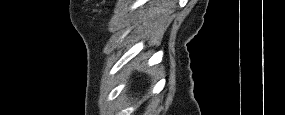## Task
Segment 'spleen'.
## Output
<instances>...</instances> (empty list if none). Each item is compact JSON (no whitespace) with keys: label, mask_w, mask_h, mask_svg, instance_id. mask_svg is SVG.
Returning <instances> with one entry per match:
<instances>
[{"label":"spleen","mask_w":285,"mask_h":115,"mask_svg":"<svg viewBox=\"0 0 285 115\" xmlns=\"http://www.w3.org/2000/svg\"><path fill=\"white\" fill-rule=\"evenodd\" d=\"M138 70H142V68L141 67H138ZM148 72H151V73H158V71H157V69H151V70H148Z\"/></svg>","instance_id":"spleen-1"}]
</instances>
